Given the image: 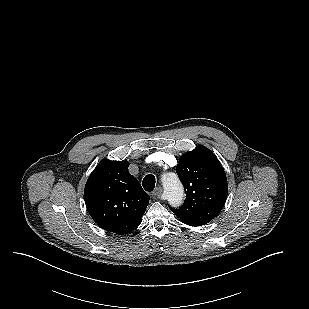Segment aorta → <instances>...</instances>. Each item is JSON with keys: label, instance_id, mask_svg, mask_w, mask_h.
Wrapping results in <instances>:
<instances>
[{"label": "aorta", "instance_id": "1", "mask_svg": "<svg viewBox=\"0 0 309 309\" xmlns=\"http://www.w3.org/2000/svg\"><path fill=\"white\" fill-rule=\"evenodd\" d=\"M162 185L169 204L174 207L180 206L184 198V189L177 175L174 173L164 174Z\"/></svg>", "mask_w": 309, "mask_h": 309}]
</instances>
